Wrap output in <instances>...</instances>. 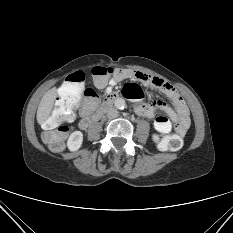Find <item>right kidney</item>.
Masks as SVG:
<instances>
[{
	"label": "right kidney",
	"mask_w": 233,
	"mask_h": 233,
	"mask_svg": "<svg viewBox=\"0 0 233 233\" xmlns=\"http://www.w3.org/2000/svg\"><path fill=\"white\" fill-rule=\"evenodd\" d=\"M83 142V134L81 131H74L73 133L70 134L68 141H67V146L70 151H77Z\"/></svg>",
	"instance_id": "ca27d5eb"
}]
</instances>
